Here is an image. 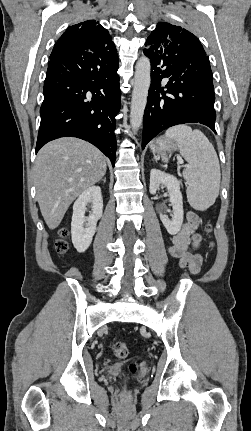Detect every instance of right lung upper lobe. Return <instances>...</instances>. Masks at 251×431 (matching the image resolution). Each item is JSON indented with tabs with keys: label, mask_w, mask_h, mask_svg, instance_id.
<instances>
[{
	"label": "right lung upper lobe",
	"mask_w": 251,
	"mask_h": 431,
	"mask_svg": "<svg viewBox=\"0 0 251 431\" xmlns=\"http://www.w3.org/2000/svg\"><path fill=\"white\" fill-rule=\"evenodd\" d=\"M54 49L67 54H96L105 63L118 59L108 31L95 20H87L69 27L58 39Z\"/></svg>",
	"instance_id": "1"
}]
</instances>
